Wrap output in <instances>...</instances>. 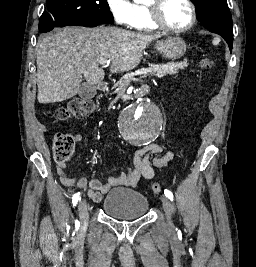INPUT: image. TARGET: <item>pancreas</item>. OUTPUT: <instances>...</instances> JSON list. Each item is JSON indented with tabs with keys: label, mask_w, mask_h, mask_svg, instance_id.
<instances>
[{
	"label": "pancreas",
	"mask_w": 256,
	"mask_h": 267,
	"mask_svg": "<svg viewBox=\"0 0 256 267\" xmlns=\"http://www.w3.org/2000/svg\"><path fill=\"white\" fill-rule=\"evenodd\" d=\"M187 66V60H184V62H180V64H166V66H160V68H147V70L154 72V76L163 78V76H167V74H177V70H184ZM132 80H135L134 76L126 74V76L120 80L119 84H115L114 88H117L118 94H124Z\"/></svg>",
	"instance_id": "1"
}]
</instances>
